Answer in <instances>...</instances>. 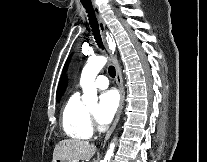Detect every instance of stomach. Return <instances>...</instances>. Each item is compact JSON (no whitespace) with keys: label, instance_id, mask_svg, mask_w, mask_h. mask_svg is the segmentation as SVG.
Wrapping results in <instances>:
<instances>
[{"label":"stomach","instance_id":"obj_1","mask_svg":"<svg viewBox=\"0 0 207 162\" xmlns=\"http://www.w3.org/2000/svg\"><path fill=\"white\" fill-rule=\"evenodd\" d=\"M55 162H65V161H63V160H56ZM70 162V161H69Z\"/></svg>","mask_w":207,"mask_h":162}]
</instances>
